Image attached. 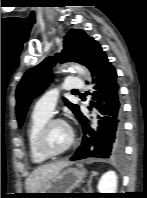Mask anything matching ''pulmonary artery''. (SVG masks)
<instances>
[{
  "label": "pulmonary artery",
  "mask_w": 147,
  "mask_h": 198,
  "mask_svg": "<svg viewBox=\"0 0 147 198\" xmlns=\"http://www.w3.org/2000/svg\"><path fill=\"white\" fill-rule=\"evenodd\" d=\"M84 83L80 78L70 77L68 78L64 85V90H74L83 88ZM59 90L51 89L47 91L39 100L35 103L34 111L39 114L51 116L54 112L55 106L58 101Z\"/></svg>",
  "instance_id": "obj_1"
}]
</instances>
